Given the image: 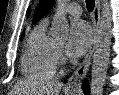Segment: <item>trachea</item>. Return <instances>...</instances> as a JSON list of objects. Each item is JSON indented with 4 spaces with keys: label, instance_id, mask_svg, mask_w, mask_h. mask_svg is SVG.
I'll return each mask as SVG.
<instances>
[{
    "label": "trachea",
    "instance_id": "trachea-1",
    "mask_svg": "<svg viewBox=\"0 0 119 95\" xmlns=\"http://www.w3.org/2000/svg\"><path fill=\"white\" fill-rule=\"evenodd\" d=\"M95 6L94 0H86V7L89 12H92Z\"/></svg>",
    "mask_w": 119,
    "mask_h": 95
}]
</instances>
